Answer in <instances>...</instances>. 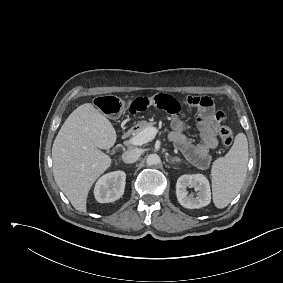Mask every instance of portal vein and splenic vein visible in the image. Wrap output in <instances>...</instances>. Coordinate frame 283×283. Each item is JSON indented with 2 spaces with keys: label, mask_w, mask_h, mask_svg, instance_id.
<instances>
[{
  "label": "portal vein and splenic vein",
  "mask_w": 283,
  "mask_h": 283,
  "mask_svg": "<svg viewBox=\"0 0 283 283\" xmlns=\"http://www.w3.org/2000/svg\"><path fill=\"white\" fill-rule=\"evenodd\" d=\"M157 133H158V129H156L155 127L146 128L142 132L137 134L135 137L129 139L126 142V145L141 146L154 139Z\"/></svg>",
  "instance_id": "18ae733b"
}]
</instances>
